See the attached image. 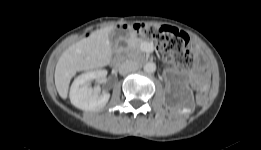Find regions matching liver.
<instances>
[{"label": "liver", "instance_id": "6515ba94", "mask_svg": "<svg viewBox=\"0 0 261 150\" xmlns=\"http://www.w3.org/2000/svg\"><path fill=\"white\" fill-rule=\"evenodd\" d=\"M115 26L92 32L67 48L55 68V86L61 98L66 99L71 78L82 70L101 68L111 61L110 34Z\"/></svg>", "mask_w": 261, "mask_h": 150}]
</instances>
